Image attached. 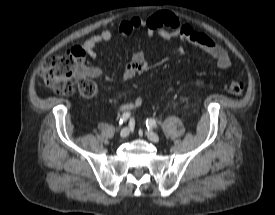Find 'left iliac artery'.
<instances>
[{"label":"left iliac artery","instance_id":"obj_1","mask_svg":"<svg viewBox=\"0 0 275 215\" xmlns=\"http://www.w3.org/2000/svg\"><path fill=\"white\" fill-rule=\"evenodd\" d=\"M146 126H147L148 129L156 128L157 123L154 119H147L146 120Z\"/></svg>","mask_w":275,"mask_h":215}]
</instances>
